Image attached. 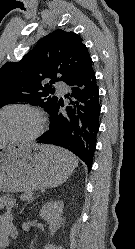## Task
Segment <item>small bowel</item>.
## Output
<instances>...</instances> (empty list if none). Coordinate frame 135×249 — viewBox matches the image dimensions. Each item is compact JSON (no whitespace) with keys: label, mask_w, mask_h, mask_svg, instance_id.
Segmentation results:
<instances>
[{"label":"small bowel","mask_w":135,"mask_h":249,"mask_svg":"<svg viewBox=\"0 0 135 249\" xmlns=\"http://www.w3.org/2000/svg\"><path fill=\"white\" fill-rule=\"evenodd\" d=\"M13 206V199L0 196V209H5V211L0 214V247L8 245L10 240L17 237V230L13 223Z\"/></svg>","instance_id":"obj_1"}]
</instances>
